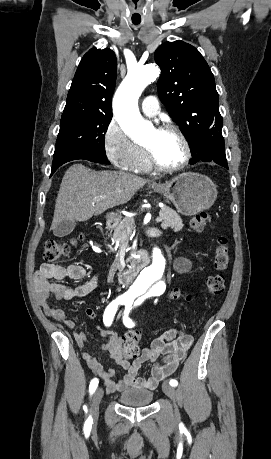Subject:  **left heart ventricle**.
<instances>
[{"mask_svg": "<svg viewBox=\"0 0 271 459\" xmlns=\"http://www.w3.org/2000/svg\"><path fill=\"white\" fill-rule=\"evenodd\" d=\"M166 163L179 161L184 155L180 138L172 132H160L156 128L150 131L145 143Z\"/></svg>", "mask_w": 271, "mask_h": 459, "instance_id": "1", "label": "left heart ventricle"}]
</instances>
